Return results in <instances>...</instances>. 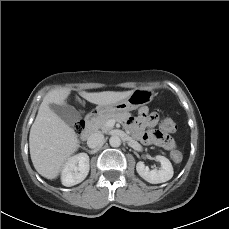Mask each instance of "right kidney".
<instances>
[{"mask_svg":"<svg viewBox=\"0 0 229 229\" xmlns=\"http://www.w3.org/2000/svg\"><path fill=\"white\" fill-rule=\"evenodd\" d=\"M89 173V156L86 153H79L71 157L65 164L61 181L66 187H71L82 182Z\"/></svg>","mask_w":229,"mask_h":229,"instance_id":"ca27d5eb","label":"right kidney"}]
</instances>
